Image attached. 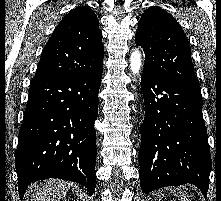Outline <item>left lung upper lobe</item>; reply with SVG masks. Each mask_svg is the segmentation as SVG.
<instances>
[{
  "instance_id": "5c2ea615",
  "label": "left lung upper lobe",
  "mask_w": 221,
  "mask_h": 201,
  "mask_svg": "<svg viewBox=\"0 0 221 201\" xmlns=\"http://www.w3.org/2000/svg\"><path fill=\"white\" fill-rule=\"evenodd\" d=\"M135 42L145 52L144 71L200 87L187 37L169 13L156 6L148 8L138 22Z\"/></svg>"
}]
</instances>
